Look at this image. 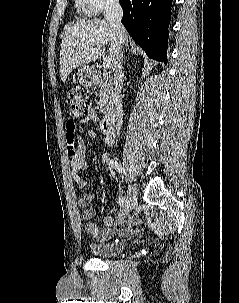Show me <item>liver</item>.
<instances>
[{"label": "liver", "mask_w": 239, "mask_h": 303, "mask_svg": "<svg viewBox=\"0 0 239 303\" xmlns=\"http://www.w3.org/2000/svg\"><path fill=\"white\" fill-rule=\"evenodd\" d=\"M116 43L115 30L106 20L80 21L67 27L60 50L61 80L65 82L72 70L100 58L107 44L109 58L114 64Z\"/></svg>", "instance_id": "6515ba94"}]
</instances>
